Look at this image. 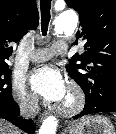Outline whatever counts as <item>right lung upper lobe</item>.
Returning <instances> with one entry per match:
<instances>
[{
	"instance_id": "cb5924a9",
	"label": "right lung upper lobe",
	"mask_w": 116,
	"mask_h": 134,
	"mask_svg": "<svg viewBox=\"0 0 116 134\" xmlns=\"http://www.w3.org/2000/svg\"><path fill=\"white\" fill-rule=\"evenodd\" d=\"M39 23L35 0H0V67L13 52L10 42H17Z\"/></svg>"
}]
</instances>
